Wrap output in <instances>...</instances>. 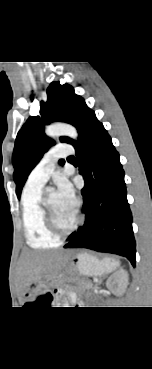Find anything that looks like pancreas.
I'll use <instances>...</instances> for the list:
<instances>
[{
    "label": "pancreas",
    "instance_id": "1",
    "mask_svg": "<svg viewBox=\"0 0 152 369\" xmlns=\"http://www.w3.org/2000/svg\"><path fill=\"white\" fill-rule=\"evenodd\" d=\"M79 285H80L81 292H84L86 290H90L93 286L92 282L88 281V280H80Z\"/></svg>",
    "mask_w": 152,
    "mask_h": 369
}]
</instances>
